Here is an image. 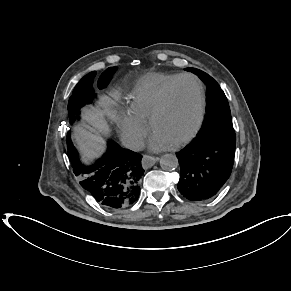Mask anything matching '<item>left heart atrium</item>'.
<instances>
[{
	"label": "left heart atrium",
	"mask_w": 291,
	"mask_h": 291,
	"mask_svg": "<svg viewBox=\"0 0 291 291\" xmlns=\"http://www.w3.org/2000/svg\"><path fill=\"white\" fill-rule=\"evenodd\" d=\"M149 145L152 150L158 151L168 148L171 146V143L154 133L150 139Z\"/></svg>",
	"instance_id": "39dd6f15"
}]
</instances>
